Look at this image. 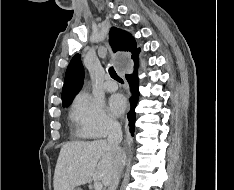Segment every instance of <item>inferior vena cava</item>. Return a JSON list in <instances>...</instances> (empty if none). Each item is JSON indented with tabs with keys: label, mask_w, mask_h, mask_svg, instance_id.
I'll return each mask as SVG.
<instances>
[{
	"label": "inferior vena cava",
	"mask_w": 234,
	"mask_h": 190,
	"mask_svg": "<svg viewBox=\"0 0 234 190\" xmlns=\"http://www.w3.org/2000/svg\"><path fill=\"white\" fill-rule=\"evenodd\" d=\"M107 141L115 161L112 180L108 185V190H116L120 181V175L125 159V154L120 147V143L122 141V130L119 123L111 122L109 124Z\"/></svg>",
	"instance_id": "inferior-vena-cava-1"
}]
</instances>
